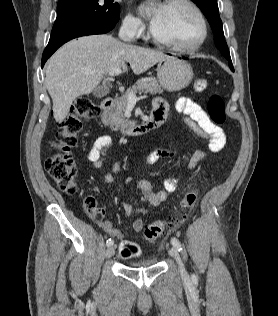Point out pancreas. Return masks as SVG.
Here are the masks:
<instances>
[{"label": "pancreas", "instance_id": "cf45deb5", "mask_svg": "<svg viewBox=\"0 0 278 316\" xmlns=\"http://www.w3.org/2000/svg\"><path fill=\"white\" fill-rule=\"evenodd\" d=\"M163 92L161 86L155 78H140L132 88L126 91L125 95L116 98L115 107L108 112L104 118V123L108 124L114 131L124 130L129 126V121L125 118L124 112L128 103V95L130 93H150L161 94Z\"/></svg>", "mask_w": 278, "mask_h": 316}]
</instances>
